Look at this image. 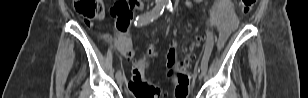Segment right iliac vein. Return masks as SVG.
I'll list each match as a JSON object with an SVG mask.
<instances>
[{"label":"right iliac vein","instance_id":"obj_1","mask_svg":"<svg viewBox=\"0 0 308 98\" xmlns=\"http://www.w3.org/2000/svg\"><path fill=\"white\" fill-rule=\"evenodd\" d=\"M116 78H117L118 84L123 83V81H124V75L123 74L120 73Z\"/></svg>","mask_w":308,"mask_h":98}]
</instances>
